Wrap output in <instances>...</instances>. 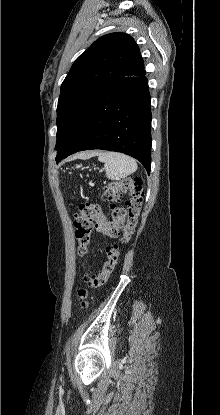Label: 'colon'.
Listing matches in <instances>:
<instances>
[{
	"label": "colon",
	"instance_id": "obj_1",
	"mask_svg": "<svg viewBox=\"0 0 220 415\" xmlns=\"http://www.w3.org/2000/svg\"><path fill=\"white\" fill-rule=\"evenodd\" d=\"M126 192L130 193L127 209L120 206L121 198ZM104 199L111 205L110 218L102 213L99 205L88 203L80 205L79 215L74 221V234L80 256L89 253L94 228L109 238L118 239L108 248L106 260L99 273L87 276L88 286L94 289L101 288L112 276L122 247L130 241L135 231L143 202L141 179L125 178L109 184L104 193ZM120 231H122L121 236ZM77 296L80 306L87 308L89 306L88 290L85 287L79 288Z\"/></svg>",
	"mask_w": 220,
	"mask_h": 415
}]
</instances>
